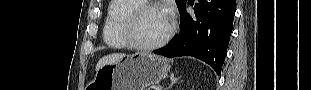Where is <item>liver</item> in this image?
<instances>
[{
  "label": "liver",
  "instance_id": "liver-1",
  "mask_svg": "<svg viewBox=\"0 0 311 90\" xmlns=\"http://www.w3.org/2000/svg\"><path fill=\"white\" fill-rule=\"evenodd\" d=\"M123 57H125L124 53H114V54H109L107 56L102 57L96 65V71H98L100 68H102L105 65L114 64L118 62Z\"/></svg>",
  "mask_w": 311,
  "mask_h": 90
}]
</instances>
